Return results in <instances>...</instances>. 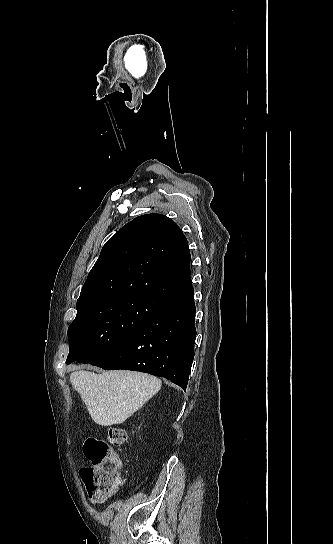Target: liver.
Returning a JSON list of instances; mask_svg holds the SVG:
<instances>
[{
	"label": "liver",
	"instance_id": "1",
	"mask_svg": "<svg viewBox=\"0 0 333 544\" xmlns=\"http://www.w3.org/2000/svg\"><path fill=\"white\" fill-rule=\"evenodd\" d=\"M70 382L101 426L123 423L161 388L155 376L133 371L79 370L71 373Z\"/></svg>",
	"mask_w": 333,
	"mask_h": 544
}]
</instances>
